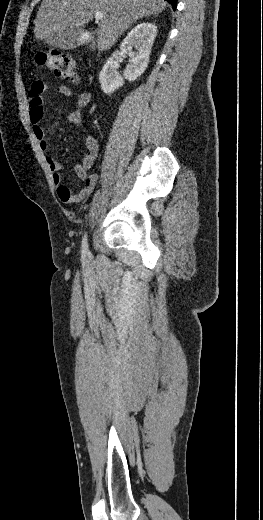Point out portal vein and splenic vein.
Segmentation results:
<instances>
[{
	"label": "portal vein and splenic vein",
	"mask_w": 263,
	"mask_h": 520,
	"mask_svg": "<svg viewBox=\"0 0 263 520\" xmlns=\"http://www.w3.org/2000/svg\"><path fill=\"white\" fill-rule=\"evenodd\" d=\"M94 17H95L96 20H101V19L104 18V14L102 12H96L94 14Z\"/></svg>",
	"instance_id": "18ae733b"
}]
</instances>
